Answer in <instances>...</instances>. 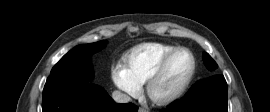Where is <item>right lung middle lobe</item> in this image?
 <instances>
[{"label":"right lung middle lobe","instance_id":"right-lung-middle-lobe-1","mask_svg":"<svg viewBox=\"0 0 270 112\" xmlns=\"http://www.w3.org/2000/svg\"><path fill=\"white\" fill-rule=\"evenodd\" d=\"M106 43L105 40H102L96 43L74 47L53 67L47 81L88 82L93 77L90 57L92 54L102 49Z\"/></svg>","mask_w":270,"mask_h":112}]
</instances>
